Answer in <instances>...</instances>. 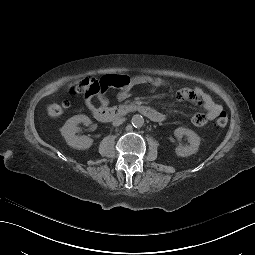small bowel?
<instances>
[{
	"label": "small bowel",
	"mask_w": 255,
	"mask_h": 255,
	"mask_svg": "<svg viewBox=\"0 0 255 255\" xmlns=\"http://www.w3.org/2000/svg\"><path fill=\"white\" fill-rule=\"evenodd\" d=\"M167 85L168 82L161 78H154L145 75L135 76L129 79V84L127 86L121 88L117 95V99L119 101H123L129 98L134 88L139 86H144L150 90H155L158 87H164ZM94 95L97 97L101 104H107L108 100L105 96V91H99L97 93H86L84 95V103L90 110L94 107L92 102ZM176 98L178 100H188L193 103H197L204 108V113H196L191 117V122L197 127L206 125L209 121L215 119L222 111V107L217 104L212 99V97L200 87L180 89L176 93Z\"/></svg>",
	"instance_id": "c3829d8e"
}]
</instances>
